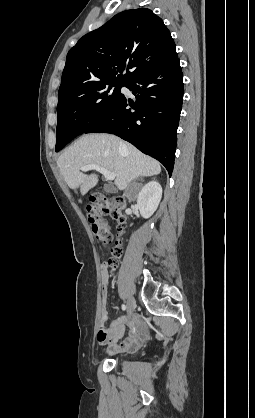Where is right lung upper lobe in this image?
<instances>
[{
  "label": "right lung upper lobe",
  "mask_w": 255,
  "mask_h": 418,
  "mask_svg": "<svg viewBox=\"0 0 255 418\" xmlns=\"http://www.w3.org/2000/svg\"><path fill=\"white\" fill-rule=\"evenodd\" d=\"M176 57L175 43L161 18L147 8L127 10L84 35L70 49L59 94L102 82L126 84Z\"/></svg>",
  "instance_id": "1"
}]
</instances>
